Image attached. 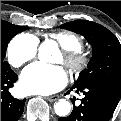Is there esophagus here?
Masks as SVG:
<instances>
[{
  "mask_svg": "<svg viewBox=\"0 0 121 121\" xmlns=\"http://www.w3.org/2000/svg\"><path fill=\"white\" fill-rule=\"evenodd\" d=\"M46 99L50 102H53L55 100H58L59 96L58 95L48 96V97H46Z\"/></svg>",
  "mask_w": 121,
  "mask_h": 121,
  "instance_id": "obj_1",
  "label": "esophagus"
}]
</instances>
